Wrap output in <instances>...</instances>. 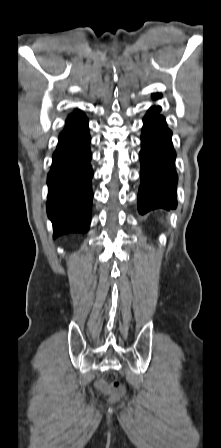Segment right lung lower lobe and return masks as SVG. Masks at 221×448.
I'll return each instance as SVG.
<instances>
[{
	"mask_svg": "<svg viewBox=\"0 0 221 448\" xmlns=\"http://www.w3.org/2000/svg\"><path fill=\"white\" fill-rule=\"evenodd\" d=\"M89 143L88 120L76 110L59 135L47 178V213L54 228L53 238L89 229L93 198Z\"/></svg>",
	"mask_w": 221,
	"mask_h": 448,
	"instance_id": "right-lung-lower-lobe-1",
	"label": "right lung lower lobe"
}]
</instances>
